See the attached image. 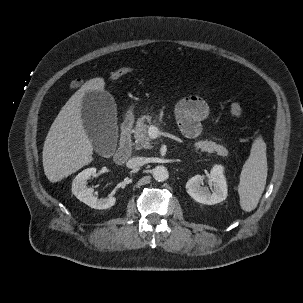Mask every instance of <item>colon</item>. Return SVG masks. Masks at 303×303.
Masks as SVG:
<instances>
[{
    "mask_svg": "<svg viewBox=\"0 0 303 303\" xmlns=\"http://www.w3.org/2000/svg\"><path fill=\"white\" fill-rule=\"evenodd\" d=\"M131 71H132V68H130V67H120V68L112 71L109 74V78L111 80H117V79L125 76L126 74H129ZM229 111L237 119H242L244 117V111H243L241 105L236 101H233L230 103Z\"/></svg>",
    "mask_w": 303,
    "mask_h": 303,
    "instance_id": "obj_1",
    "label": "colon"
}]
</instances>
